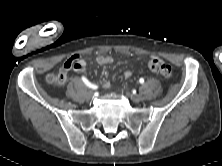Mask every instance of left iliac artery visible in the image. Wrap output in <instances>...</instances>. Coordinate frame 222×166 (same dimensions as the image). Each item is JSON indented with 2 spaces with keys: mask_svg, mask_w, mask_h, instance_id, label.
I'll list each match as a JSON object with an SVG mask.
<instances>
[{
  "mask_svg": "<svg viewBox=\"0 0 222 166\" xmlns=\"http://www.w3.org/2000/svg\"><path fill=\"white\" fill-rule=\"evenodd\" d=\"M139 82H140L141 84H143V83H144V79H143V78H140V79H139Z\"/></svg>",
  "mask_w": 222,
  "mask_h": 166,
  "instance_id": "obj_1",
  "label": "left iliac artery"
}]
</instances>
